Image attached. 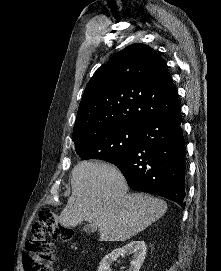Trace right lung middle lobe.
I'll return each instance as SVG.
<instances>
[{"mask_svg": "<svg viewBox=\"0 0 221 271\" xmlns=\"http://www.w3.org/2000/svg\"><path fill=\"white\" fill-rule=\"evenodd\" d=\"M142 127L118 125L73 139L81 159H101L113 163L136 143Z\"/></svg>", "mask_w": 221, "mask_h": 271, "instance_id": "1", "label": "right lung middle lobe"}]
</instances>
